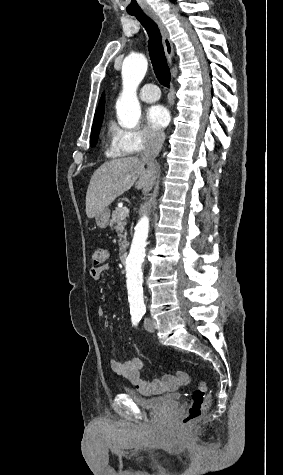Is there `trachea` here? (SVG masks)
<instances>
[{
	"instance_id": "1",
	"label": "trachea",
	"mask_w": 283,
	"mask_h": 475,
	"mask_svg": "<svg viewBox=\"0 0 283 475\" xmlns=\"http://www.w3.org/2000/svg\"><path fill=\"white\" fill-rule=\"evenodd\" d=\"M129 15L136 17L141 25L145 28L149 37L148 51L154 73L161 85L169 88L171 82V73L167 59L165 57L162 37L157 23H155L154 20H152L143 11L129 13Z\"/></svg>"
}]
</instances>
